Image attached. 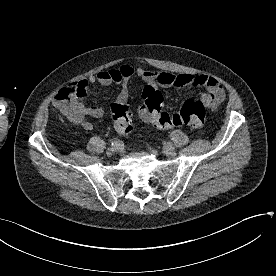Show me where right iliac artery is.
<instances>
[{
    "mask_svg": "<svg viewBox=\"0 0 276 276\" xmlns=\"http://www.w3.org/2000/svg\"><path fill=\"white\" fill-rule=\"evenodd\" d=\"M112 146H113V147L122 148V147H123V144H122V142L119 141V140H114V141L112 142Z\"/></svg>",
    "mask_w": 276,
    "mask_h": 276,
    "instance_id": "1",
    "label": "right iliac artery"
}]
</instances>
